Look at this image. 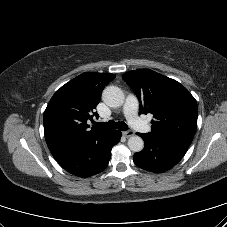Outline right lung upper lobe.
<instances>
[{
	"label": "right lung upper lobe",
	"instance_id": "cb5924a9",
	"mask_svg": "<svg viewBox=\"0 0 227 227\" xmlns=\"http://www.w3.org/2000/svg\"><path fill=\"white\" fill-rule=\"evenodd\" d=\"M114 74L87 72L63 85L51 98L44 112V133L49 150L86 140L106 130L87 124L100 101L104 87Z\"/></svg>",
	"mask_w": 227,
	"mask_h": 227
}]
</instances>
